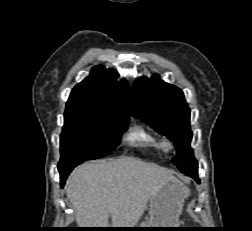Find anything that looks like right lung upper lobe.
Segmentation results:
<instances>
[{
  "instance_id": "cb5924a9",
  "label": "right lung upper lobe",
  "mask_w": 252,
  "mask_h": 231,
  "mask_svg": "<svg viewBox=\"0 0 252 231\" xmlns=\"http://www.w3.org/2000/svg\"><path fill=\"white\" fill-rule=\"evenodd\" d=\"M118 77L115 70H107L101 65L93 67L90 76L72 90L66 110L128 116L129 86L125 80L117 82Z\"/></svg>"
}]
</instances>
